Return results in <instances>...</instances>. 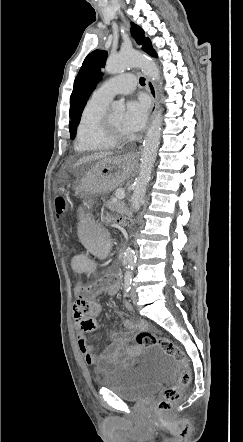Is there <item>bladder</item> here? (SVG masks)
Masks as SVG:
<instances>
[{"mask_svg":"<svg viewBox=\"0 0 243 442\" xmlns=\"http://www.w3.org/2000/svg\"><path fill=\"white\" fill-rule=\"evenodd\" d=\"M167 354L152 353L136 365L121 367L98 379L107 388L127 401H141L157 393L162 385L175 377L176 362Z\"/></svg>","mask_w":243,"mask_h":442,"instance_id":"bladder-1","label":"bladder"}]
</instances>
